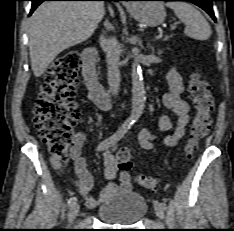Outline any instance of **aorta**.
<instances>
[{
	"label": "aorta",
	"mask_w": 234,
	"mask_h": 231,
	"mask_svg": "<svg viewBox=\"0 0 234 231\" xmlns=\"http://www.w3.org/2000/svg\"><path fill=\"white\" fill-rule=\"evenodd\" d=\"M132 111L129 117L130 121H137L145 106V88L143 82L142 70L137 59L132 63Z\"/></svg>",
	"instance_id": "obj_1"
}]
</instances>
